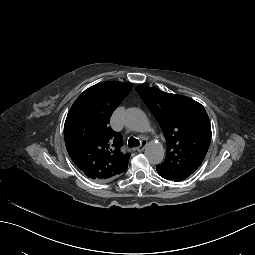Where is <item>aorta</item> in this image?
I'll return each mask as SVG.
<instances>
[{
	"mask_svg": "<svg viewBox=\"0 0 255 255\" xmlns=\"http://www.w3.org/2000/svg\"><path fill=\"white\" fill-rule=\"evenodd\" d=\"M124 121L128 128L145 132L150 128V123L145 113L138 108H129L125 111ZM145 156L151 164H159L164 158V148L158 142H150L145 148Z\"/></svg>",
	"mask_w": 255,
	"mask_h": 255,
	"instance_id": "762f6f07",
	"label": "aorta"
}]
</instances>
